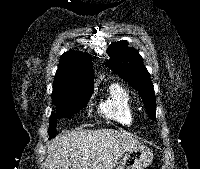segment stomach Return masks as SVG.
Returning a JSON list of instances; mask_svg holds the SVG:
<instances>
[{"mask_svg": "<svg viewBox=\"0 0 200 169\" xmlns=\"http://www.w3.org/2000/svg\"><path fill=\"white\" fill-rule=\"evenodd\" d=\"M153 154L145 146L130 148L116 169H145L151 164Z\"/></svg>", "mask_w": 200, "mask_h": 169, "instance_id": "1", "label": "stomach"}]
</instances>
